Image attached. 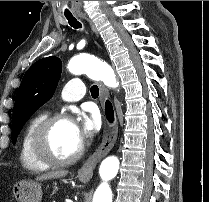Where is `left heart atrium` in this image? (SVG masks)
<instances>
[{
	"label": "left heart atrium",
	"instance_id": "left-heart-atrium-1",
	"mask_svg": "<svg viewBox=\"0 0 209 202\" xmlns=\"http://www.w3.org/2000/svg\"><path fill=\"white\" fill-rule=\"evenodd\" d=\"M73 125L75 135L81 144L87 137L92 136L97 129L94 117L90 118L84 114H79Z\"/></svg>",
	"mask_w": 209,
	"mask_h": 202
}]
</instances>
